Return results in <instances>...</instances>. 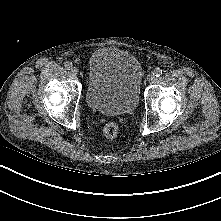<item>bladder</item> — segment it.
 Masks as SVG:
<instances>
[{
    "instance_id": "bladder-1",
    "label": "bladder",
    "mask_w": 221,
    "mask_h": 221,
    "mask_svg": "<svg viewBox=\"0 0 221 221\" xmlns=\"http://www.w3.org/2000/svg\"><path fill=\"white\" fill-rule=\"evenodd\" d=\"M143 68L130 52L115 47L95 50L88 63L85 99L97 113L129 114L139 102Z\"/></svg>"
}]
</instances>
